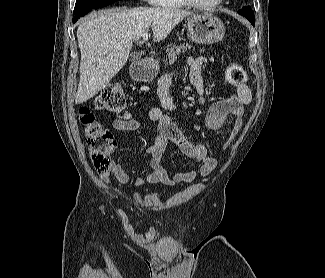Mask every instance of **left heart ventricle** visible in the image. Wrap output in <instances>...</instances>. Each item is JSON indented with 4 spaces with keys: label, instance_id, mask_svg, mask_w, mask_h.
<instances>
[{
    "label": "left heart ventricle",
    "instance_id": "left-heart-ventricle-1",
    "mask_svg": "<svg viewBox=\"0 0 325 278\" xmlns=\"http://www.w3.org/2000/svg\"><path fill=\"white\" fill-rule=\"evenodd\" d=\"M194 1L200 4H210L213 3L215 0H194Z\"/></svg>",
    "mask_w": 325,
    "mask_h": 278
}]
</instances>
